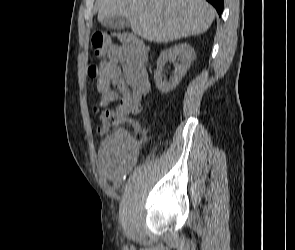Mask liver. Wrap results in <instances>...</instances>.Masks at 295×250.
I'll use <instances>...</instances> for the list:
<instances>
[{"label":"liver","instance_id":"1","mask_svg":"<svg viewBox=\"0 0 295 250\" xmlns=\"http://www.w3.org/2000/svg\"><path fill=\"white\" fill-rule=\"evenodd\" d=\"M111 16H125L145 40L167 43L206 32L215 10L205 0H101L99 22Z\"/></svg>","mask_w":295,"mask_h":250}]
</instances>
